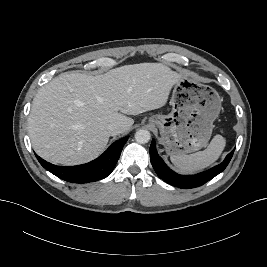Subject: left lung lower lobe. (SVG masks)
<instances>
[{"label": "left lung lower lobe", "instance_id": "0a47b994", "mask_svg": "<svg viewBox=\"0 0 267 267\" xmlns=\"http://www.w3.org/2000/svg\"><path fill=\"white\" fill-rule=\"evenodd\" d=\"M233 153H234V150H232L226 156V158L221 164L207 171H204L196 175H180L172 171L164 163L163 159L157 153L155 141L152 140V143L150 146V161L155 172L162 180L178 188L190 189V188H195V187L205 184L206 182L211 180L213 177L221 173L229 164L233 156Z\"/></svg>", "mask_w": 267, "mask_h": 267}]
</instances>
